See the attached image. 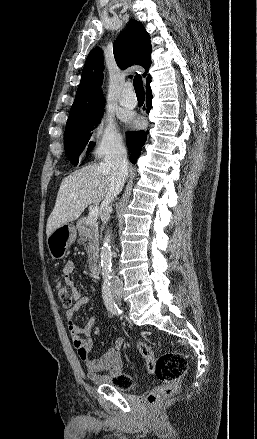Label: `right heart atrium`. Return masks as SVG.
Masks as SVG:
<instances>
[{"mask_svg":"<svg viewBox=\"0 0 257 439\" xmlns=\"http://www.w3.org/2000/svg\"><path fill=\"white\" fill-rule=\"evenodd\" d=\"M122 141L120 132L112 118L101 119L91 133L93 151L97 157L116 149Z\"/></svg>","mask_w":257,"mask_h":439,"instance_id":"obj_1","label":"right heart atrium"}]
</instances>
